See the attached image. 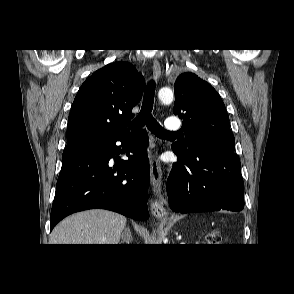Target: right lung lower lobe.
Instances as JSON below:
<instances>
[{
  "label": "right lung lower lobe",
  "instance_id": "98d812e1",
  "mask_svg": "<svg viewBox=\"0 0 294 294\" xmlns=\"http://www.w3.org/2000/svg\"><path fill=\"white\" fill-rule=\"evenodd\" d=\"M129 130L66 147L51 210L50 230L64 217L87 209H108L136 220L149 218V161L145 131L129 143ZM126 148L127 161L112 166ZM131 153V155H130Z\"/></svg>",
  "mask_w": 294,
  "mask_h": 294
}]
</instances>
